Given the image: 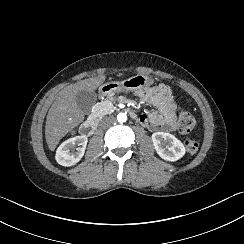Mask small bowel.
Listing matches in <instances>:
<instances>
[{"mask_svg": "<svg viewBox=\"0 0 244 244\" xmlns=\"http://www.w3.org/2000/svg\"><path fill=\"white\" fill-rule=\"evenodd\" d=\"M139 104L152 106L155 111L135 114V118L144 127L171 130L175 125L176 104L171 89L164 84L147 85L145 88L131 90Z\"/></svg>", "mask_w": 244, "mask_h": 244, "instance_id": "1", "label": "small bowel"}]
</instances>
